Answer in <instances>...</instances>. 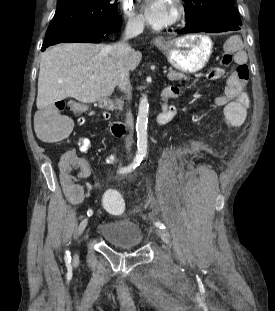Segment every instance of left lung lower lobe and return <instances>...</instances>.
<instances>
[{"label": "left lung lower lobe", "instance_id": "1", "mask_svg": "<svg viewBox=\"0 0 275 311\" xmlns=\"http://www.w3.org/2000/svg\"><path fill=\"white\" fill-rule=\"evenodd\" d=\"M242 25H234L224 18H207L201 21L186 24V27L179 30L178 33H193V32H209L219 33L225 31L239 30Z\"/></svg>", "mask_w": 275, "mask_h": 311}]
</instances>
